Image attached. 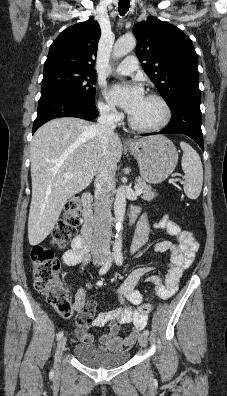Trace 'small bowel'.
Listing matches in <instances>:
<instances>
[{"label": "small bowel", "mask_w": 227, "mask_h": 396, "mask_svg": "<svg viewBox=\"0 0 227 396\" xmlns=\"http://www.w3.org/2000/svg\"><path fill=\"white\" fill-rule=\"evenodd\" d=\"M156 228L176 239L175 243L163 240L155 244L156 252L169 255V270L164 277L152 275L148 278V282L154 285L156 293L160 297L167 298L176 293L184 271L193 263L195 254L199 249V243L196 241L192 231L181 229L168 216H163L158 221ZM151 233L152 230L147 217H141L136 227L131 250L133 252L140 251L148 243ZM62 261L68 267L80 265L81 268H84L90 261L89 248L84 244L80 236H76L73 239L71 248L63 254ZM151 269V265L134 269L118 287V301L120 303L129 302L131 305L101 312L96 317H94L95 304L90 302L86 305V290L85 288H79L75 292L73 305L74 310L78 312L76 317V338L81 342H92L93 336L89 332L90 327L106 326L107 331L100 336L99 342L109 350L117 352L132 345L136 341L138 333L147 324V314L141 313L134 308V306L142 304L144 300L142 293L136 289V286L142 276ZM122 324L133 325L132 331L125 337L119 336Z\"/></svg>", "instance_id": "obj_1"}]
</instances>
